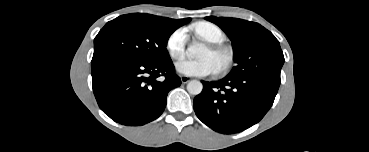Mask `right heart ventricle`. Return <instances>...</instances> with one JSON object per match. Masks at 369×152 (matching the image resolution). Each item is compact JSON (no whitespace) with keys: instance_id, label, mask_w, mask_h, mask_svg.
Listing matches in <instances>:
<instances>
[{"instance_id":"e07e8e85","label":"right heart ventricle","mask_w":369,"mask_h":152,"mask_svg":"<svg viewBox=\"0 0 369 152\" xmlns=\"http://www.w3.org/2000/svg\"><path fill=\"white\" fill-rule=\"evenodd\" d=\"M195 34L210 43H220L224 40L222 30L210 22H198L192 27Z\"/></svg>"}]
</instances>
